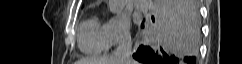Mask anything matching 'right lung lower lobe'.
Segmentation results:
<instances>
[{
  "label": "right lung lower lobe",
  "instance_id": "right-lung-lower-lobe-1",
  "mask_svg": "<svg viewBox=\"0 0 242 64\" xmlns=\"http://www.w3.org/2000/svg\"><path fill=\"white\" fill-rule=\"evenodd\" d=\"M156 20L158 45H141L133 57L145 64L196 63L200 31L197 0H156Z\"/></svg>",
  "mask_w": 242,
  "mask_h": 64
}]
</instances>
